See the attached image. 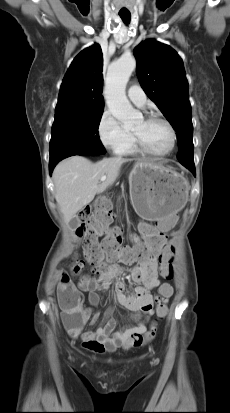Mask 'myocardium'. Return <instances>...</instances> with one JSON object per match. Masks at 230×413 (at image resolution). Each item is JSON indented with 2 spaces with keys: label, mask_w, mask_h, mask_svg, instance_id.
Listing matches in <instances>:
<instances>
[{
  "label": "myocardium",
  "mask_w": 230,
  "mask_h": 413,
  "mask_svg": "<svg viewBox=\"0 0 230 413\" xmlns=\"http://www.w3.org/2000/svg\"><path fill=\"white\" fill-rule=\"evenodd\" d=\"M145 120H146V121L158 120V121H161L162 123H164V124L166 125V127L168 128L169 133H170V144H169V146H168L167 149H165V150H163V151H157V150H154V149L150 148V147L141 139V137H140L138 134H136V133L133 132L134 138H135L138 146L140 147V149H141L143 152H145V153H147V154H150V155H153V156L162 157V156H167V155H169V154L174 150L175 145H176L177 135H176V131H175L174 126L171 124V122H170L168 119H166L165 117H163V116H161V115H159V114H157V113H152V114H150L149 116H147V117L145 118Z\"/></svg>",
  "instance_id": "1"
}]
</instances>
